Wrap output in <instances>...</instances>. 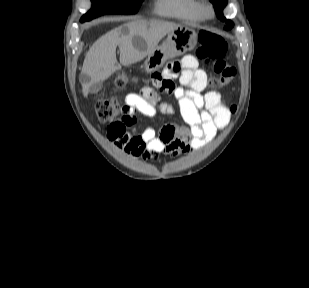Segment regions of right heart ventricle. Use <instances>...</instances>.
<instances>
[{
	"label": "right heart ventricle",
	"instance_id": "obj_1",
	"mask_svg": "<svg viewBox=\"0 0 309 288\" xmlns=\"http://www.w3.org/2000/svg\"><path fill=\"white\" fill-rule=\"evenodd\" d=\"M154 8L161 16L184 21L199 22L204 18L200 0H156Z\"/></svg>",
	"mask_w": 309,
	"mask_h": 288
}]
</instances>
